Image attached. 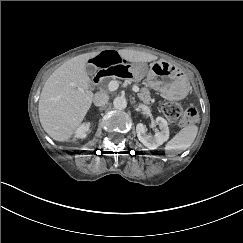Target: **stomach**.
<instances>
[{
  "instance_id": "stomach-1",
  "label": "stomach",
  "mask_w": 243,
  "mask_h": 243,
  "mask_svg": "<svg viewBox=\"0 0 243 243\" xmlns=\"http://www.w3.org/2000/svg\"><path fill=\"white\" fill-rule=\"evenodd\" d=\"M131 72L136 79L146 76L147 86L169 100L184 98L190 88L187 77L166 61L153 62L149 68L143 63H135L131 66Z\"/></svg>"
}]
</instances>
